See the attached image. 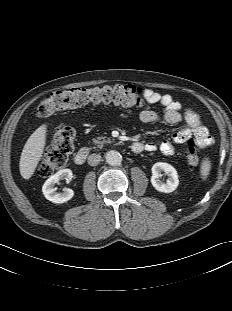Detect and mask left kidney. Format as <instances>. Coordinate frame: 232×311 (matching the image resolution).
I'll use <instances>...</instances> for the list:
<instances>
[{
	"instance_id": "1",
	"label": "left kidney",
	"mask_w": 232,
	"mask_h": 311,
	"mask_svg": "<svg viewBox=\"0 0 232 311\" xmlns=\"http://www.w3.org/2000/svg\"><path fill=\"white\" fill-rule=\"evenodd\" d=\"M151 170V183L157 191L170 193L178 187V174L176 169L172 165L165 162H157L152 166ZM161 172H164L168 176L166 183L160 180Z\"/></svg>"
}]
</instances>
